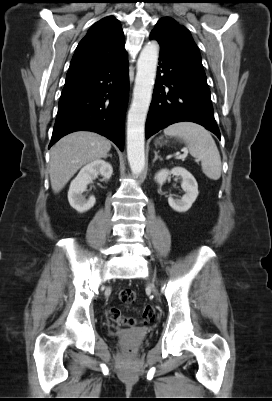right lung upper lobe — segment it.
Instances as JSON below:
<instances>
[{"instance_id": "cb5924a9", "label": "right lung upper lobe", "mask_w": 272, "mask_h": 401, "mask_svg": "<svg viewBox=\"0 0 272 401\" xmlns=\"http://www.w3.org/2000/svg\"><path fill=\"white\" fill-rule=\"evenodd\" d=\"M124 34L119 21L108 16L96 22L78 44L66 81L84 76L125 51Z\"/></svg>"}]
</instances>
